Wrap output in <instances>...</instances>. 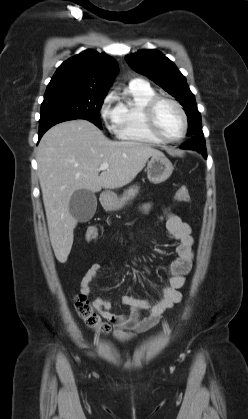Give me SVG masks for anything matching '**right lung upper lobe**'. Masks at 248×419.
I'll return each instance as SVG.
<instances>
[{"mask_svg": "<svg viewBox=\"0 0 248 419\" xmlns=\"http://www.w3.org/2000/svg\"><path fill=\"white\" fill-rule=\"evenodd\" d=\"M118 71L109 55L86 50L63 62L47 88H74L107 93Z\"/></svg>", "mask_w": 248, "mask_h": 419, "instance_id": "1", "label": "right lung upper lobe"}]
</instances>
